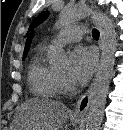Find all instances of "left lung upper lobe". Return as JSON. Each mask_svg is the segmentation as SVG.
I'll return each mask as SVG.
<instances>
[{
  "mask_svg": "<svg viewBox=\"0 0 123 130\" xmlns=\"http://www.w3.org/2000/svg\"><path fill=\"white\" fill-rule=\"evenodd\" d=\"M49 13L48 12H43L41 13L39 16H37L34 21L32 22L29 31L34 28L35 26H37L38 24H40L41 22H43L47 17H48Z\"/></svg>",
  "mask_w": 123,
  "mask_h": 130,
  "instance_id": "5c2ea615",
  "label": "left lung upper lobe"
}]
</instances>
